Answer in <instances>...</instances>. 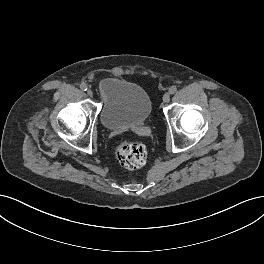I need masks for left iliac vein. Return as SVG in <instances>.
<instances>
[{
    "label": "left iliac vein",
    "instance_id": "obj_1",
    "mask_svg": "<svg viewBox=\"0 0 264 264\" xmlns=\"http://www.w3.org/2000/svg\"><path fill=\"white\" fill-rule=\"evenodd\" d=\"M169 100H170V94H169V93H165V94L163 95V102H164V103H168Z\"/></svg>",
    "mask_w": 264,
    "mask_h": 264
}]
</instances>
